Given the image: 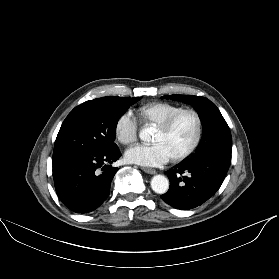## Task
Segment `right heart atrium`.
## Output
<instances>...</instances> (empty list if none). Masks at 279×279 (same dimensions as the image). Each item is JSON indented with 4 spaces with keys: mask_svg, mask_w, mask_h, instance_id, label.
Here are the masks:
<instances>
[{
    "mask_svg": "<svg viewBox=\"0 0 279 279\" xmlns=\"http://www.w3.org/2000/svg\"><path fill=\"white\" fill-rule=\"evenodd\" d=\"M139 130V123L135 116L126 111L122 113L115 124L116 138L123 145H132L136 142Z\"/></svg>",
    "mask_w": 279,
    "mask_h": 279,
    "instance_id": "right-heart-atrium-1",
    "label": "right heart atrium"
}]
</instances>
